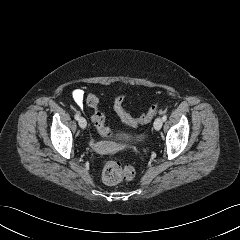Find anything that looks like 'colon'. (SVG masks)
<instances>
[{"mask_svg": "<svg viewBox=\"0 0 240 240\" xmlns=\"http://www.w3.org/2000/svg\"><path fill=\"white\" fill-rule=\"evenodd\" d=\"M124 94H119L114 100V108L121 120L132 126H138L150 122L158 112V105L153 104L148 111L137 117H131L124 109ZM86 103L93 109L92 122L96 126L100 134L104 136H111L112 130L105 125V116L99 110V99L96 95L89 93L86 96ZM135 176V170L130 165L123 166L118 161L108 162L102 170V180L107 185H116L124 180H131Z\"/></svg>", "mask_w": 240, "mask_h": 240, "instance_id": "obj_1", "label": "colon"}]
</instances>
